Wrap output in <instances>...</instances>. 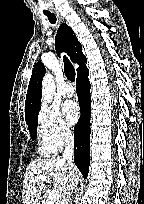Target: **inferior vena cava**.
<instances>
[{
    "instance_id": "inferior-vena-cava-1",
    "label": "inferior vena cava",
    "mask_w": 144,
    "mask_h": 204,
    "mask_svg": "<svg viewBox=\"0 0 144 204\" xmlns=\"http://www.w3.org/2000/svg\"><path fill=\"white\" fill-rule=\"evenodd\" d=\"M64 143H65V150H64V155H63V160L67 163L69 166V173L74 176V180L77 183L78 179V169L74 164V137L71 132H67L65 137H64ZM74 173L76 175H74ZM75 183V185H76ZM75 185L71 187V191L67 195V199H69L72 194L75 191ZM68 204V203H65Z\"/></svg>"
}]
</instances>
